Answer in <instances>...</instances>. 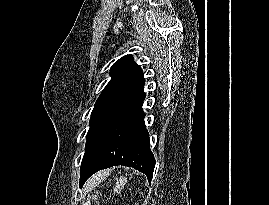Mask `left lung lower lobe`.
Returning a JSON list of instances; mask_svg holds the SVG:
<instances>
[{
	"mask_svg": "<svg viewBox=\"0 0 269 205\" xmlns=\"http://www.w3.org/2000/svg\"><path fill=\"white\" fill-rule=\"evenodd\" d=\"M144 99L143 92L93 134L81 163L80 187L95 172L115 165L133 167L151 182L155 159L144 124Z\"/></svg>",
	"mask_w": 269,
	"mask_h": 205,
	"instance_id": "1",
	"label": "left lung lower lobe"
}]
</instances>
